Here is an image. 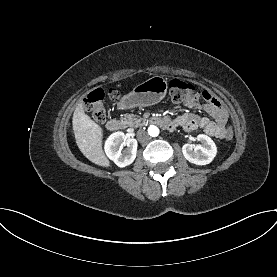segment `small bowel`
I'll return each mask as SVG.
<instances>
[{
	"instance_id": "small-bowel-1",
	"label": "small bowel",
	"mask_w": 277,
	"mask_h": 277,
	"mask_svg": "<svg viewBox=\"0 0 277 277\" xmlns=\"http://www.w3.org/2000/svg\"><path fill=\"white\" fill-rule=\"evenodd\" d=\"M205 100V104H200L197 99L187 103L193 110L203 109L212 119L201 117L196 113H184L171 121L174 127H182L186 131H194L201 128L206 134L215 138H224L228 121V112L220 100L210 91L203 90L199 93Z\"/></svg>"
}]
</instances>
